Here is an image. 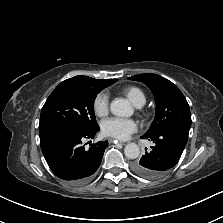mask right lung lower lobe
I'll return each instance as SVG.
<instances>
[{"label":"right lung lower lobe","mask_w":223,"mask_h":223,"mask_svg":"<svg viewBox=\"0 0 223 223\" xmlns=\"http://www.w3.org/2000/svg\"><path fill=\"white\" fill-rule=\"evenodd\" d=\"M98 131L99 126L84 130L61 125L39 132L41 149L52 172L69 183L87 182L100 166L108 142L99 141L87 149L82 141L94 138Z\"/></svg>","instance_id":"98d812e1"}]
</instances>
